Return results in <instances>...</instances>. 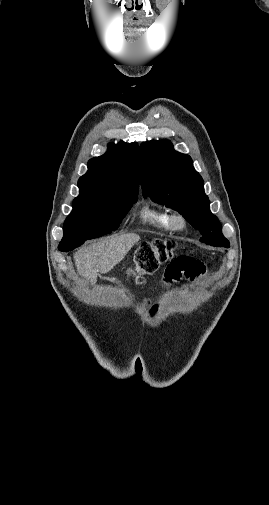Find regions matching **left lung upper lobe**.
Segmentation results:
<instances>
[{"label": "left lung upper lobe", "mask_w": 269, "mask_h": 505, "mask_svg": "<svg viewBox=\"0 0 269 505\" xmlns=\"http://www.w3.org/2000/svg\"><path fill=\"white\" fill-rule=\"evenodd\" d=\"M141 187L143 196L179 213L203 235L200 241L230 246L222 227L210 212L204 181L194 169L192 159L173 149L169 141H148L140 145Z\"/></svg>", "instance_id": "obj_1"}]
</instances>
